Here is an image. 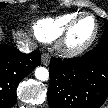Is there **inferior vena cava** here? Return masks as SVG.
Masks as SVG:
<instances>
[{
  "instance_id": "inferior-vena-cava-1",
  "label": "inferior vena cava",
  "mask_w": 108,
  "mask_h": 108,
  "mask_svg": "<svg viewBox=\"0 0 108 108\" xmlns=\"http://www.w3.org/2000/svg\"><path fill=\"white\" fill-rule=\"evenodd\" d=\"M18 49L23 53H30L34 47H36V44L30 41H19Z\"/></svg>"
}]
</instances>
